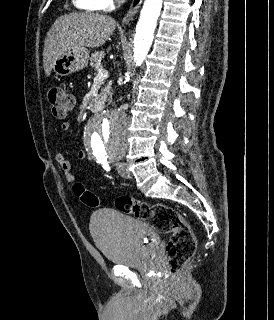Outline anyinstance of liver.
I'll return each mask as SVG.
<instances>
[{"label":"liver","mask_w":274,"mask_h":320,"mask_svg":"<svg viewBox=\"0 0 274 320\" xmlns=\"http://www.w3.org/2000/svg\"><path fill=\"white\" fill-rule=\"evenodd\" d=\"M116 28L114 18L103 14H64L57 18L47 34L43 50V66L50 76L54 62L68 48H99Z\"/></svg>","instance_id":"obj_1"}]
</instances>
